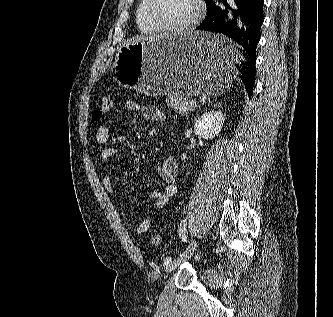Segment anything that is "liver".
<instances>
[{
    "label": "liver",
    "mask_w": 333,
    "mask_h": 317,
    "mask_svg": "<svg viewBox=\"0 0 333 317\" xmlns=\"http://www.w3.org/2000/svg\"><path fill=\"white\" fill-rule=\"evenodd\" d=\"M161 36H168V35H160V36H154V37H161ZM148 38H153V37H148V36H140V37H137L136 39H148Z\"/></svg>",
    "instance_id": "1"
}]
</instances>
